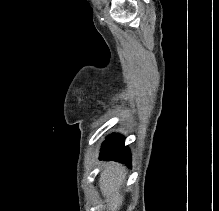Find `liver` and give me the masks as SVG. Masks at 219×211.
I'll return each mask as SVG.
<instances>
[{
    "label": "liver",
    "mask_w": 219,
    "mask_h": 211,
    "mask_svg": "<svg viewBox=\"0 0 219 211\" xmlns=\"http://www.w3.org/2000/svg\"><path fill=\"white\" fill-rule=\"evenodd\" d=\"M126 169L122 163H115L110 161L107 167L101 171L99 177L100 191L104 197H110L109 203H107V209L111 211H117L120 209L124 201V195L120 193L119 189L125 179Z\"/></svg>",
    "instance_id": "1"
}]
</instances>
